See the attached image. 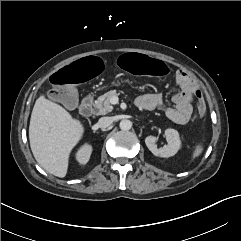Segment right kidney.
<instances>
[{
	"label": "right kidney",
	"instance_id": "right-kidney-1",
	"mask_svg": "<svg viewBox=\"0 0 241 241\" xmlns=\"http://www.w3.org/2000/svg\"><path fill=\"white\" fill-rule=\"evenodd\" d=\"M91 152H92L91 145L84 144L76 153L77 161L80 164L85 165L90 159Z\"/></svg>",
	"mask_w": 241,
	"mask_h": 241
}]
</instances>
